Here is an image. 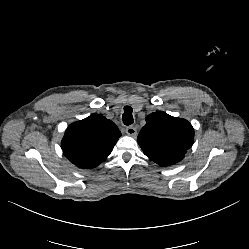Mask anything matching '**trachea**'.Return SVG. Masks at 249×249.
<instances>
[{
    "label": "trachea",
    "instance_id": "1",
    "mask_svg": "<svg viewBox=\"0 0 249 249\" xmlns=\"http://www.w3.org/2000/svg\"><path fill=\"white\" fill-rule=\"evenodd\" d=\"M132 108L130 106H125L124 107V113L122 116L123 123L126 126H129L130 124L133 123V116H132Z\"/></svg>",
    "mask_w": 249,
    "mask_h": 249
}]
</instances>
